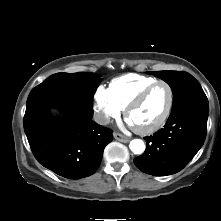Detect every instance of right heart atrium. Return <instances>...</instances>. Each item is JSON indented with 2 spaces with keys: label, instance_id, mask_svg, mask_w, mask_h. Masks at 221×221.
Wrapping results in <instances>:
<instances>
[{
  "label": "right heart atrium",
  "instance_id": "right-heart-atrium-1",
  "mask_svg": "<svg viewBox=\"0 0 221 221\" xmlns=\"http://www.w3.org/2000/svg\"><path fill=\"white\" fill-rule=\"evenodd\" d=\"M93 109L98 123L105 125L111 119L118 118L121 109L115 102L109 88L100 85L94 93Z\"/></svg>",
  "mask_w": 221,
  "mask_h": 221
}]
</instances>
